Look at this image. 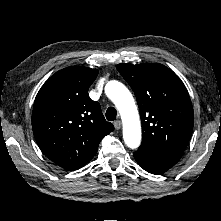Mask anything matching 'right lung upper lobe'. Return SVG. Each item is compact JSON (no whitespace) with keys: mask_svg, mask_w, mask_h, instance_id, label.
<instances>
[{"mask_svg":"<svg viewBox=\"0 0 221 221\" xmlns=\"http://www.w3.org/2000/svg\"><path fill=\"white\" fill-rule=\"evenodd\" d=\"M97 75V69L67 67L52 75L35 98V139L53 162L70 171L89 162L101 139L114 130L88 95Z\"/></svg>","mask_w":221,"mask_h":221,"instance_id":"cb5924a9","label":"right lung upper lobe"}]
</instances>
